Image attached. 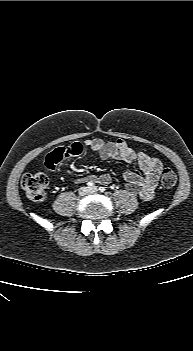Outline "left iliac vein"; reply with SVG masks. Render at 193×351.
I'll list each match as a JSON object with an SVG mask.
<instances>
[{
  "mask_svg": "<svg viewBox=\"0 0 193 351\" xmlns=\"http://www.w3.org/2000/svg\"><path fill=\"white\" fill-rule=\"evenodd\" d=\"M98 191L97 187H92L90 193H96Z\"/></svg>",
  "mask_w": 193,
  "mask_h": 351,
  "instance_id": "4c4485c4",
  "label": "left iliac vein"
}]
</instances>
